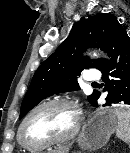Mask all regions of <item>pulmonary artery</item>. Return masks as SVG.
I'll list each match as a JSON object with an SVG mask.
<instances>
[{"mask_svg":"<svg viewBox=\"0 0 130 153\" xmlns=\"http://www.w3.org/2000/svg\"><path fill=\"white\" fill-rule=\"evenodd\" d=\"M101 77V73L99 70H90L86 76V80L95 83L97 82Z\"/></svg>","mask_w":130,"mask_h":153,"instance_id":"1","label":"pulmonary artery"}]
</instances>
